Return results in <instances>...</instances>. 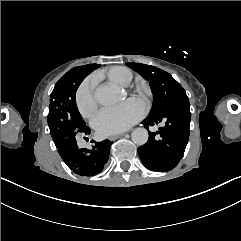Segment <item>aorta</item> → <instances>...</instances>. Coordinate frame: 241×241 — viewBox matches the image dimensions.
Returning a JSON list of instances; mask_svg holds the SVG:
<instances>
[{
    "label": "aorta",
    "mask_w": 241,
    "mask_h": 241,
    "mask_svg": "<svg viewBox=\"0 0 241 241\" xmlns=\"http://www.w3.org/2000/svg\"><path fill=\"white\" fill-rule=\"evenodd\" d=\"M119 95V89L110 84L99 85L94 94L96 101L105 106L114 104L119 99ZM148 138L149 134L145 128H136L131 133L132 141L139 146L144 145L148 141Z\"/></svg>",
    "instance_id": "1"
}]
</instances>
